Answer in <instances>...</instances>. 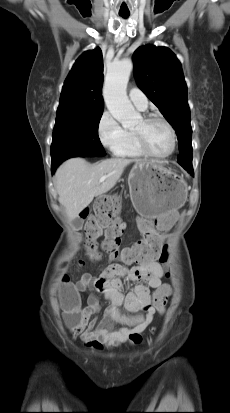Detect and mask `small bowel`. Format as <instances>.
<instances>
[{
  "instance_id": "1",
  "label": "small bowel",
  "mask_w": 230,
  "mask_h": 413,
  "mask_svg": "<svg viewBox=\"0 0 230 413\" xmlns=\"http://www.w3.org/2000/svg\"><path fill=\"white\" fill-rule=\"evenodd\" d=\"M180 221L178 214H164L155 222L154 218H139V228L145 236L155 231H172L175 223ZM114 259V258H113ZM165 269L155 260H149L137 266L127 267L122 264H110L97 278L84 274L76 284L64 283L60 289V299L74 293L79 296L77 313L65 308V321L70 331L78 335L93 349L113 348L122 343L136 341L152 321L157 307L154 296L171 295L169 284L162 283ZM144 281L128 294H123V280ZM89 288L102 292L110 302L103 316L96 315L100 311V302L95 294L88 296L82 305L80 294ZM150 289L154 290L153 295ZM119 325V327H116Z\"/></svg>"
}]
</instances>
